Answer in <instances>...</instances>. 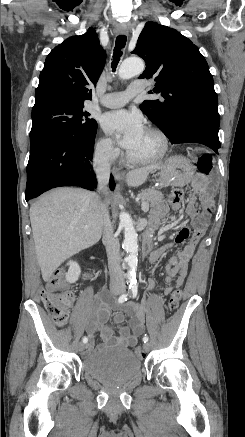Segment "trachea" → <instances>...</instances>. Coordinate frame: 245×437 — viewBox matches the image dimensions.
<instances>
[{
	"label": "trachea",
	"instance_id": "obj_1",
	"mask_svg": "<svg viewBox=\"0 0 245 437\" xmlns=\"http://www.w3.org/2000/svg\"><path fill=\"white\" fill-rule=\"evenodd\" d=\"M126 41H127V38H126V36H123V35L122 36H118L116 38L115 47H114V53H113V61H112L113 72H115L117 64H118V62H119V60H120V58H121V56L123 54L122 50H123V48L126 45Z\"/></svg>",
	"mask_w": 245,
	"mask_h": 437
}]
</instances>
